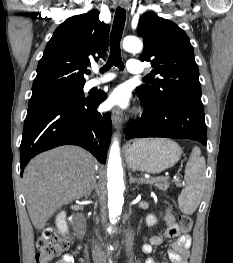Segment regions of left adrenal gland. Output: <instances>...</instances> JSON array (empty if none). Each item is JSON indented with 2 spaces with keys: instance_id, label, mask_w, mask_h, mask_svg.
Here are the masks:
<instances>
[{
  "instance_id": "a2214340",
  "label": "left adrenal gland",
  "mask_w": 233,
  "mask_h": 263,
  "mask_svg": "<svg viewBox=\"0 0 233 263\" xmlns=\"http://www.w3.org/2000/svg\"><path fill=\"white\" fill-rule=\"evenodd\" d=\"M129 177H130L129 179L130 184L132 183L142 184L143 183V180L133 177L131 173H129Z\"/></svg>"
}]
</instances>
